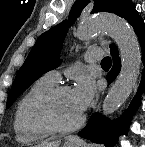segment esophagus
I'll return each mask as SVG.
<instances>
[{"label": "esophagus", "mask_w": 145, "mask_h": 147, "mask_svg": "<svg viewBox=\"0 0 145 147\" xmlns=\"http://www.w3.org/2000/svg\"><path fill=\"white\" fill-rule=\"evenodd\" d=\"M72 141H76V139L75 138H73V139H71Z\"/></svg>", "instance_id": "esophagus-1"}]
</instances>
